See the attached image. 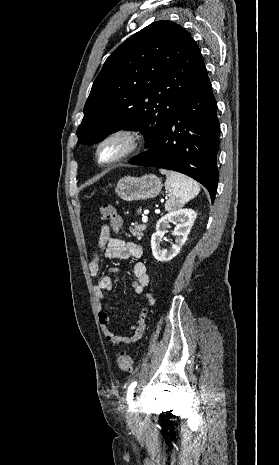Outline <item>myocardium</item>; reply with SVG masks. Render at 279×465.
<instances>
[{"mask_svg": "<svg viewBox=\"0 0 279 465\" xmlns=\"http://www.w3.org/2000/svg\"><path fill=\"white\" fill-rule=\"evenodd\" d=\"M114 139H121L124 142V149L115 157L104 160L101 157V150L105 144ZM144 140L143 132L136 127L124 126L116 128L105 134L97 143L95 156L96 160L101 165H112L124 160L135 153L142 145Z\"/></svg>", "mask_w": 279, "mask_h": 465, "instance_id": "obj_1", "label": "myocardium"}]
</instances>
